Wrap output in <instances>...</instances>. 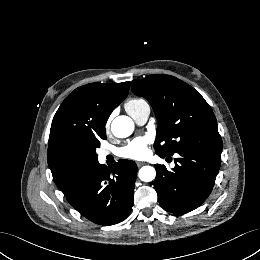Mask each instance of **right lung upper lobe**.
I'll use <instances>...</instances> for the list:
<instances>
[{
    "label": "right lung upper lobe",
    "instance_id": "cb5924a9",
    "mask_svg": "<svg viewBox=\"0 0 260 260\" xmlns=\"http://www.w3.org/2000/svg\"><path fill=\"white\" fill-rule=\"evenodd\" d=\"M128 91L129 82L91 83L75 89L60 105L51 125L47 159L64 194L93 167L90 145L105 131L108 117Z\"/></svg>",
    "mask_w": 260,
    "mask_h": 260
}]
</instances>
